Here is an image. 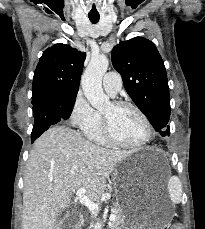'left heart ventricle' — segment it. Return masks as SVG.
<instances>
[{
  "instance_id": "1",
  "label": "left heart ventricle",
  "mask_w": 205,
  "mask_h": 229,
  "mask_svg": "<svg viewBox=\"0 0 205 229\" xmlns=\"http://www.w3.org/2000/svg\"><path fill=\"white\" fill-rule=\"evenodd\" d=\"M111 121L114 135L124 143H137L146 133L140 116L130 107L116 108L109 103L102 111Z\"/></svg>"
}]
</instances>
